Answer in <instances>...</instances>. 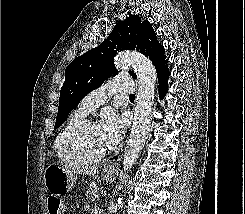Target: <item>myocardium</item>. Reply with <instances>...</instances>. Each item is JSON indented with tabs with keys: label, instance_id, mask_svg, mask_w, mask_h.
<instances>
[{
	"label": "myocardium",
	"instance_id": "f54148a6",
	"mask_svg": "<svg viewBox=\"0 0 245 214\" xmlns=\"http://www.w3.org/2000/svg\"><path fill=\"white\" fill-rule=\"evenodd\" d=\"M94 125H96L95 121L91 119H84L71 129L65 139L66 152L77 162L96 163L103 160L108 154L107 150L99 155L91 156L84 153L80 147L79 139L81 134L87 127Z\"/></svg>",
	"mask_w": 245,
	"mask_h": 214
}]
</instances>
